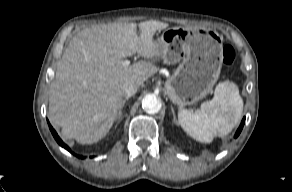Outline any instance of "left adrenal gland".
Here are the masks:
<instances>
[{"label": "left adrenal gland", "instance_id": "left-adrenal-gland-1", "mask_svg": "<svg viewBox=\"0 0 292 192\" xmlns=\"http://www.w3.org/2000/svg\"><path fill=\"white\" fill-rule=\"evenodd\" d=\"M171 110H172V114H173V119H174V122L177 123V120H176V115H175V112H174V109L173 107H171Z\"/></svg>", "mask_w": 292, "mask_h": 192}]
</instances>
